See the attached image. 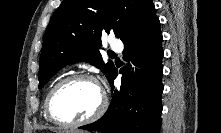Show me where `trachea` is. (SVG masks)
I'll return each mask as SVG.
<instances>
[{"label":"trachea","instance_id":"1","mask_svg":"<svg viewBox=\"0 0 221 133\" xmlns=\"http://www.w3.org/2000/svg\"><path fill=\"white\" fill-rule=\"evenodd\" d=\"M108 55H109L110 57H115V56H116V54L113 53V52H112V53H109Z\"/></svg>","mask_w":221,"mask_h":133}]
</instances>
